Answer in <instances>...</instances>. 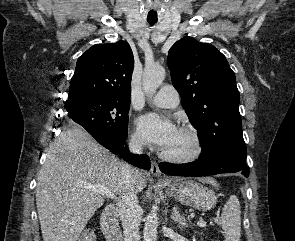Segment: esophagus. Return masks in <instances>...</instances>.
I'll return each instance as SVG.
<instances>
[{
    "instance_id": "34e87169",
    "label": "esophagus",
    "mask_w": 295,
    "mask_h": 241,
    "mask_svg": "<svg viewBox=\"0 0 295 241\" xmlns=\"http://www.w3.org/2000/svg\"><path fill=\"white\" fill-rule=\"evenodd\" d=\"M150 172L154 177L164 178L161 171H160V169H159L158 164L155 161H153L152 164H151Z\"/></svg>"
}]
</instances>
